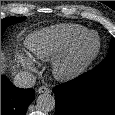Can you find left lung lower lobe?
I'll return each instance as SVG.
<instances>
[{
  "mask_svg": "<svg viewBox=\"0 0 115 115\" xmlns=\"http://www.w3.org/2000/svg\"><path fill=\"white\" fill-rule=\"evenodd\" d=\"M53 92L55 115H115V67H95Z\"/></svg>",
  "mask_w": 115,
  "mask_h": 115,
  "instance_id": "0a47b994",
  "label": "left lung lower lobe"
}]
</instances>
